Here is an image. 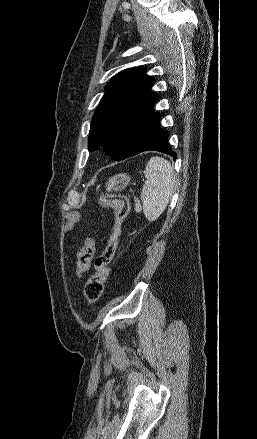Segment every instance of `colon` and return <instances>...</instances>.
Instances as JSON below:
<instances>
[{
	"label": "colon",
	"instance_id": "1",
	"mask_svg": "<svg viewBox=\"0 0 257 439\" xmlns=\"http://www.w3.org/2000/svg\"><path fill=\"white\" fill-rule=\"evenodd\" d=\"M99 206L101 209L112 208L114 210V221L107 245L95 259V272L87 280L84 287V296L89 303L97 302L104 292L109 267L118 246L122 224L129 212L128 199L119 194L103 195L99 199ZM94 253L95 242L90 235H87L77 253L76 275L78 277H82L89 270Z\"/></svg>",
	"mask_w": 257,
	"mask_h": 439
}]
</instances>
